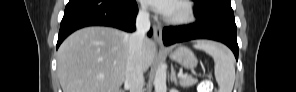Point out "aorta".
<instances>
[{"instance_id":"aorta-1","label":"aorta","mask_w":296,"mask_h":92,"mask_svg":"<svg viewBox=\"0 0 296 92\" xmlns=\"http://www.w3.org/2000/svg\"><path fill=\"white\" fill-rule=\"evenodd\" d=\"M155 92H166V67L164 65H160L155 74L154 79Z\"/></svg>"}]
</instances>
